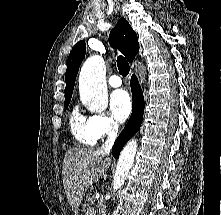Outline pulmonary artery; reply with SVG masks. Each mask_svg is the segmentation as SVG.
Listing matches in <instances>:
<instances>
[{
  "instance_id": "1",
  "label": "pulmonary artery",
  "mask_w": 221,
  "mask_h": 215,
  "mask_svg": "<svg viewBox=\"0 0 221 215\" xmlns=\"http://www.w3.org/2000/svg\"><path fill=\"white\" fill-rule=\"evenodd\" d=\"M108 83L112 87H119L122 84V79L118 75H112L109 77Z\"/></svg>"
}]
</instances>
